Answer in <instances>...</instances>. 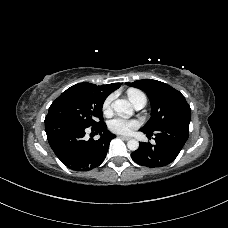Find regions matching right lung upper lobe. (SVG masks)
Here are the masks:
<instances>
[{"label": "right lung upper lobe", "instance_id": "cb5924a9", "mask_svg": "<svg viewBox=\"0 0 228 228\" xmlns=\"http://www.w3.org/2000/svg\"><path fill=\"white\" fill-rule=\"evenodd\" d=\"M83 84L88 85V86L100 91L101 93H103L106 96H108L114 90L118 89L121 85L120 83H112V84L102 85V86H97V85L91 84V83H83Z\"/></svg>", "mask_w": 228, "mask_h": 228}]
</instances>
